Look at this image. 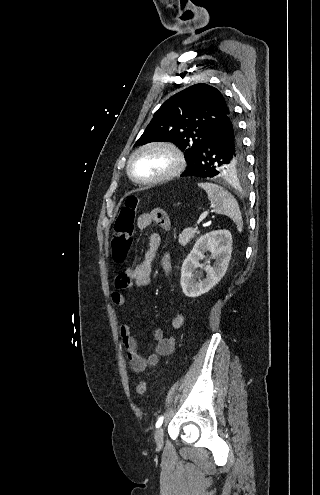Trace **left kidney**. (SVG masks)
Returning <instances> with one entry per match:
<instances>
[{"mask_svg":"<svg viewBox=\"0 0 320 495\" xmlns=\"http://www.w3.org/2000/svg\"><path fill=\"white\" fill-rule=\"evenodd\" d=\"M208 251L211 252V257L204 264L206 278L197 282L194 271L200 267V260ZM231 252L232 236L229 231H212L201 236L182 264L180 284L184 294L188 297H198L218 284L227 271ZM211 259L215 260L213 267L210 265Z\"/></svg>","mask_w":320,"mask_h":495,"instance_id":"5707ae66","label":"left kidney"}]
</instances>
